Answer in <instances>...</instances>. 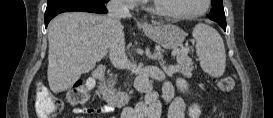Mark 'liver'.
<instances>
[{
	"instance_id": "obj_1",
	"label": "liver",
	"mask_w": 273,
	"mask_h": 118,
	"mask_svg": "<svg viewBox=\"0 0 273 118\" xmlns=\"http://www.w3.org/2000/svg\"><path fill=\"white\" fill-rule=\"evenodd\" d=\"M113 26L107 16L67 12L48 27L47 78L52 92L70 88L82 74L94 69L108 53Z\"/></svg>"
}]
</instances>
